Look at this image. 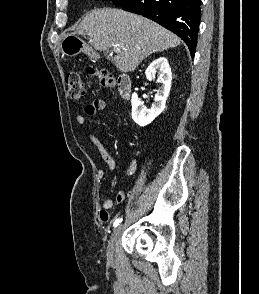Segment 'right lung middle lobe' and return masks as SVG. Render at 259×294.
Masks as SVG:
<instances>
[{"label":"right lung middle lobe","instance_id":"dd1d6c3e","mask_svg":"<svg viewBox=\"0 0 259 294\" xmlns=\"http://www.w3.org/2000/svg\"><path fill=\"white\" fill-rule=\"evenodd\" d=\"M110 1V0H106ZM116 6H121L123 3H125L127 0H111Z\"/></svg>","mask_w":259,"mask_h":294}]
</instances>
